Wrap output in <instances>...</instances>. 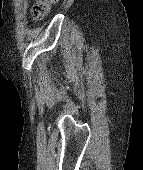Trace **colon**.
I'll use <instances>...</instances> for the list:
<instances>
[{"mask_svg": "<svg viewBox=\"0 0 143 170\" xmlns=\"http://www.w3.org/2000/svg\"><path fill=\"white\" fill-rule=\"evenodd\" d=\"M58 0H39L33 8V18L34 20H39L45 17L51 5L57 3Z\"/></svg>", "mask_w": 143, "mask_h": 170, "instance_id": "1", "label": "colon"}]
</instances>
